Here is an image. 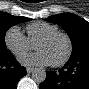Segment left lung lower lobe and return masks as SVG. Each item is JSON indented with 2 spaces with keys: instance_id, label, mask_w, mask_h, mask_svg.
Here are the masks:
<instances>
[{
  "instance_id": "0a47b994",
  "label": "left lung lower lobe",
  "mask_w": 89,
  "mask_h": 89,
  "mask_svg": "<svg viewBox=\"0 0 89 89\" xmlns=\"http://www.w3.org/2000/svg\"><path fill=\"white\" fill-rule=\"evenodd\" d=\"M40 89H89V53L70 58L58 72H46Z\"/></svg>"
}]
</instances>
